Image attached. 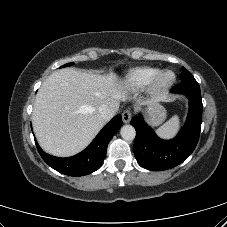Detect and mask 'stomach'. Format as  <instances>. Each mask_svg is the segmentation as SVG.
Instances as JSON below:
<instances>
[{"label": "stomach", "instance_id": "stomach-1", "mask_svg": "<svg viewBox=\"0 0 227 227\" xmlns=\"http://www.w3.org/2000/svg\"><path fill=\"white\" fill-rule=\"evenodd\" d=\"M165 117H166V111L161 105L157 103H153L150 106V123L152 125L154 126L159 125L160 123H162Z\"/></svg>", "mask_w": 227, "mask_h": 227}]
</instances>
